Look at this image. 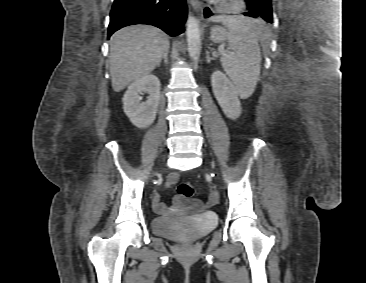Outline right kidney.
<instances>
[{
  "instance_id": "1",
  "label": "right kidney",
  "mask_w": 366,
  "mask_h": 283,
  "mask_svg": "<svg viewBox=\"0 0 366 283\" xmlns=\"http://www.w3.org/2000/svg\"><path fill=\"white\" fill-rule=\"evenodd\" d=\"M160 81L154 74L144 75L129 85L122 102L125 114L131 123L143 129L155 120L160 101ZM148 93V99L140 102L141 95Z\"/></svg>"
}]
</instances>
